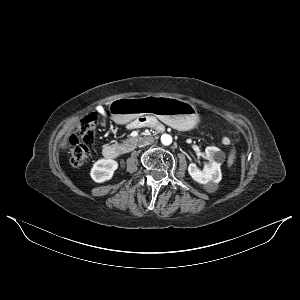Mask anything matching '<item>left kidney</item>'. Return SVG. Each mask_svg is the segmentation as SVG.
<instances>
[{
    "instance_id": "obj_1",
    "label": "left kidney",
    "mask_w": 300,
    "mask_h": 300,
    "mask_svg": "<svg viewBox=\"0 0 300 300\" xmlns=\"http://www.w3.org/2000/svg\"><path fill=\"white\" fill-rule=\"evenodd\" d=\"M205 154L209 162L204 165V169L200 170L195 163L188 166V172L193 180L200 184L214 183L221 181V163L225 159V154L217 147L208 146L205 149Z\"/></svg>"
}]
</instances>
